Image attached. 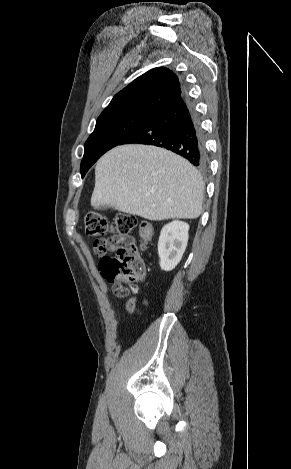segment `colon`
Wrapping results in <instances>:
<instances>
[{
    "label": "colon",
    "instance_id": "1",
    "mask_svg": "<svg viewBox=\"0 0 291 469\" xmlns=\"http://www.w3.org/2000/svg\"><path fill=\"white\" fill-rule=\"evenodd\" d=\"M138 226L136 216L118 213L112 220L97 212H88L85 216L86 233L96 238L94 248L101 255L99 269L103 277L113 284V291L118 297H125L129 291L137 290V282L145 275V265L140 256L154 233L153 225L148 221L139 224L140 246H137L129 234ZM108 235V236H107ZM113 248V254L106 250ZM135 307V299L127 302L128 312Z\"/></svg>",
    "mask_w": 291,
    "mask_h": 469
}]
</instances>
